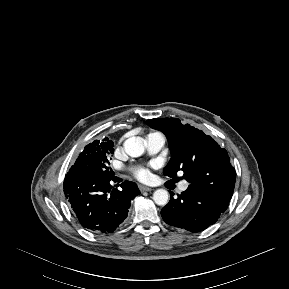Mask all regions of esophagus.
Instances as JSON below:
<instances>
[{"label": "esophagus", "instance_id": "34e87169", "mask_svg": "<svg viewBox=\"0 0 289 289\" xmlns=\"http://www.w3.org/2000/svg\"><path fill=\"white\" fill-rule=\"evenodd\" d=\"M139 189H140L141 191H148V192H150V191L153 190L152 188L147 187V186H143V185H140V186H139Z\"/></svg>", "mask_w": 289, "mask_h": 289}]
</instances>
